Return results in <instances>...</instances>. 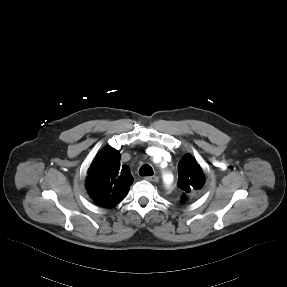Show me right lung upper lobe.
I'll use <instances>...</instances> for the list:
<instances>
[{"mask_svg":"<svg viewBox=\"0 0 287 287\" xmlns=\"http://www.w3.org/2000/svg\"><path fill=\"white\" fill-rule=\"evenodd\" d=\"M120 154L111 146L103 148L88 169L86 189L94 202L111 208L126 196L132 176L128 166L120 165Z\"/></svg>","mask_w":287,"mask_h":287,"instance_id":"cb5924a9","label":"right lung upper lobe"}]
</instances>
